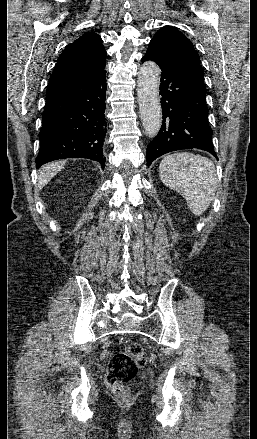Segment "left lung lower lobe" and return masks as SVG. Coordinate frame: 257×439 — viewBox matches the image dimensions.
<instances>
[{"label":"left lung lower lobe","mask_w":257,"mask_h":439,"mask_svg":"<svg viewBox=\"0 0 257 439\" xmlns=\"http://www.w3.org/2000/svg\"><path fill=\"white\" fill-rule=\"evenodd\" d=\"M155 61L161 68L160 95L163 122L155 139L148 145L146 160L150 165L168 152L201 149L217 158L208 124L206 89L192 72L149 44L142 61Z\"/></svg>","instance_id":"left-lung-lower-lobe-1"}]
</instances>
